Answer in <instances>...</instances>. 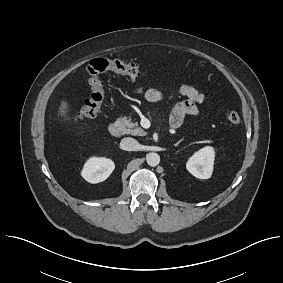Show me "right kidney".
<instances>
[{
    "label": "right kidney",
    "mask_w": 283,
    "mask_h": 283,
    "mask_svg": "<svg viewBox=\"0 0 283 283\" xmlns=\"http://www.w3.org/2000/svg\"><path fill=\"white\" fill-rule=\"evenodd\" d=\"M115 168L114 162L107 158H90L84 165L81 175L89 183L106 180Z\"/></svg>",
    "instance_id": "right-kidney-1"
}]
</instances>
